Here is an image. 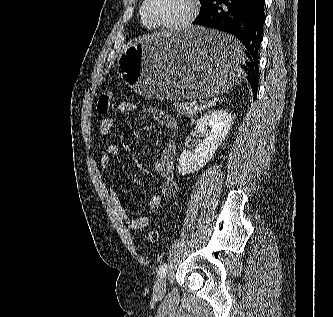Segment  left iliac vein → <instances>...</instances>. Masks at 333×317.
Instances as JSON below:
<instances>
[{
  "label": "left iliac vein",
  "mask_w": 333,
  "mask_h": 317,
  "mask_svg": "<svg viewBox=\"0 0 333 317\" xmlns=\"http://www.w3.org/2000/svg\"><path fill=\"white\" fill-rule=\"evenodd\" d=\"M166 291V278L162 277L157 280L154 286V296L162 298Z\"/></svg>",
  "instance_id": "1"
}]
</instances>
